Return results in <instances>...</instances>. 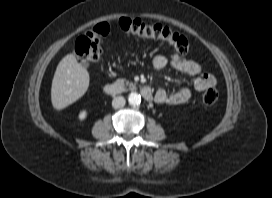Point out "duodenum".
I'll return each instance as SVG.
<instances>
[{
  "instance_id": "obj_1",
  "label": "duodenum",
  "mask_w": 272,
  "mask_h": 198,
  "mask_svg": "<svg viewBox=\"0 0 272 198\" xmlns=\"http://www.w3.org/2000/svg\"><path fill=\"white\" fill-rule=\"evenodd\" d=\"M103 91L106 95L109 96H116L119 94H122L125 92V88L121 85H117V84H113V83H108L104 86ZM140 92L142 97L146 100V101H152L153 100V93L152 90L150 89V87L144 85L141 86L140 88Z\"/></svg>"
}]
</instances>
